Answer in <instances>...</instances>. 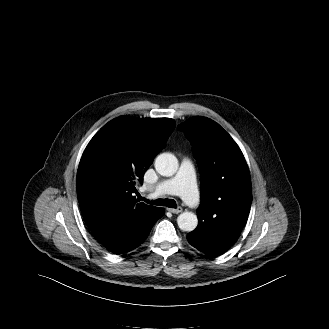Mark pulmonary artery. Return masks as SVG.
I'll return each mask as SVG.
<instances>
[{
  "instance_id": "e3ab8cb5",
  "label": "pulmonary artery",
  "mask_w": 329,
  "mask_h": 329,
  "mask_svg": "<svg viewBox=\"0 0 329 329\" xmlns=\"http://www.w3.org/2000/svg\"><path fill=\"white\" fill-rule=\"evenodd\" d=\"M179 195L192 207L200 203L196 186L194 167L190 160L183 159L176 175L170 179L160 181L155 187V195Z\"/></svg>"
}]
</instances>
